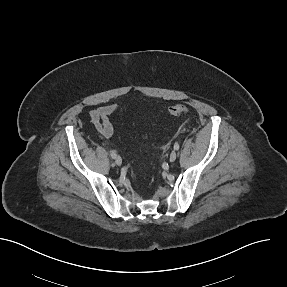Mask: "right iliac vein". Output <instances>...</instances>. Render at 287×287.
<instances>
[{
    "instance_id": "1",
    "label": "right iliac vein",
    "mask_w": 287,
    "mask_h": 287,
    "mask_svg": "<svg viewBox=\"0 0 287 287\" xmlns=\"http://www.w3.org/2000/svg\"><path fill=\"white\" fill-rule=\"evenodd\" d=\"M115 163H116L117 165H121V164H122V159H121L120 156H116V158H115Z\"/></svg>"
}]
</instances>
